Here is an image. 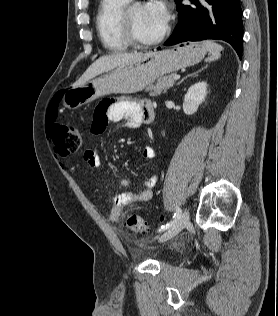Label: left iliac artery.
I'll return each instance as SVG.
<instances>
[{"label": "left iliac artery", "mask_w": 278, "mask_h": 316, "mask_svg": "<svg viewBox=\"0 0 278 316\" xmlns=\"http://www.w3.org/2000/svg\"><path fill=\"white\" fill-rule=\"evenodd\" d=\"M180 217H181V209L177 207L173 216V220L166 223L165 225H162L158 231L161 232V231L169 229L173 224H175L179 220Z\"/></svg>", "instance_id": "1"}]
</instances>
